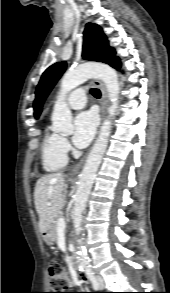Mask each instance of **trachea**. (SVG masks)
<instances>
[{"instance_id":"1","label":"trachea","mask_w":170,"mask_h":293,"mask_svg":"<svg viewBox=\"0 0 170 293\" xmlns=\"http://www.w3.org/2000/svg\"><path fill=\"white\" fill-rule=\"evenodd\" d=\"M90 92L96 98H99L101 96L100 90L97 88L91 89Z\"/></svg>"}]
</instances>
